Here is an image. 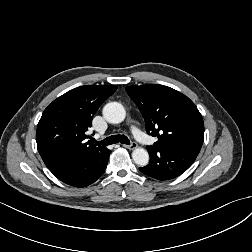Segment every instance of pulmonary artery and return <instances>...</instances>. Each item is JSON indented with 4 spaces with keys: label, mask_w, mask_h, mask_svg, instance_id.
Listing matches in <instances>:
<instances>
[{
    "label": "pulmonary artery",
    "mask_w": 252,
    "mask_h": 252,
    "mask_svg": "<svg viewBox=\"0 0 252 252\" xmlns=\"http://www.w3.org/2000/svg\"><path fill=\"white\" fill-rule=\"evenodd\" d=\"M133 134L139 142H142L144 144L150 143V138L148 136H146L145 134H143L140 130L133 129Z\"/></svg>",
    "instance_id": "e3ab8cb5"
}]
</instances>
